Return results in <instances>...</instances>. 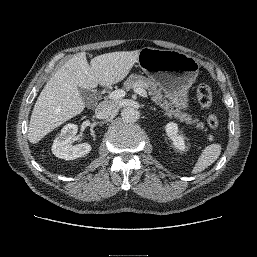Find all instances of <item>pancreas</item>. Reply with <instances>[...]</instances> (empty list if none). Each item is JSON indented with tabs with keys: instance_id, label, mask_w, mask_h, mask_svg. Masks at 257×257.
Masks as SVG:
<instances>
[{
	"instance_id": "1",
	"label": "pancreas",
	"mask_w": 257,
	"mask_h": 257,
	"mask_svg": "<svg viewBox=\"0 0 257 257\" xmlns=\"http://www.w3.org/2000/svg\"><path fill=\"white\" fill-rule=\"evenodd\" d=\"M136 87L147 89L149 94L152 96V100L165 110L168 117H175L181 122H185L186 124H195L198 129H204V124L202 122H198L197 119H192L189 114L181 112L179 109H173L172 103L165 99V95L162 94V91L156 81L140 74H131L124 82V88L126 90H130L135 89Z\"/></svg>"
}]
</instances>
